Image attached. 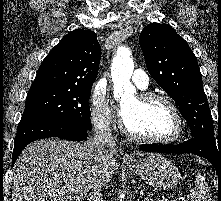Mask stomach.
<instances>
[{
	"instance_id": "stomach-1",
	"label": "stomach",
	"mask_w": 221,
	"mask_h": 201,
	"mask_svg": "<svg viewBox=\"0 0 221 201\" xmlns=\"http://www.w3.org/2000/svg\"><path fill=\"white\" fill-rule=\"evenodd\" d=\"M127 167L149 186L158 190H170L177 186L180 179L178 168L159 154H152L135 163L127 162Z\"/></svg>"
}]
</instances>
